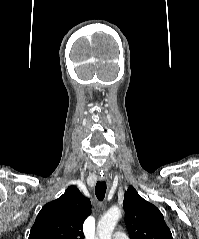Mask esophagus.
<instances>
[{
    "mask_svg": "<svg viewBox=\"0 0 199 239\" xmlns=\"http://www.w3.org/2000/svg\"><path fill=\"white\" fill-rule=\"evenodd\" d=\"M99 179L103 180V179H105V176L104 175H99Z\"/></svg>",
    "mask_w": 199,
    "mask_h": 239,
    "instance_id": "1",
    "label": "esophagus"
}]
</instances>
